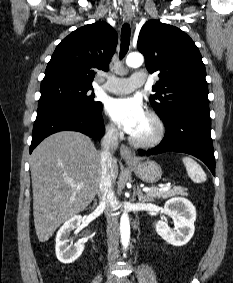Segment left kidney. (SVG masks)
<instances>
[{
  "label": "left kidney",
  "instance_id": "5707ae66",
  "mask_svg": "<svg viewBox=\"0 0 233 283\" xmlns=\"http://www.w3.org/2000/svg\"><path fill=\"white\" fill-rule=\"evenodd\" d=\"M164 211L168 216L175 217V229L172 230L167 219L162 217L156 224V231L167 243L173 246H183L192 238L196 220L194 205L185 198H173L164 205Z\"/></svg>",
  "mask_w": 233,
  "mask_h": 283
}]
</instances>
